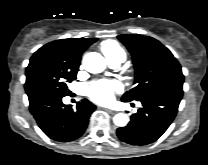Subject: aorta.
<instances>
[{"instance_id": "1", "label": "aorta", "mask_w": 208, "mask_h": 165, "mask_svg": "<svg viewBox=\"0 0 208 165\" xmlns=\"http://www.w3.org/2000/svg\"><path fill=\"white\" fill-rule=\"evenodd\" d=\"M83 66L90 73H101L105 67V59L97 52H89L83 58ZM116 126L124 127L128 124L129 118L124 113H118L113 117Z\"/></svg>"}]
</instances>
